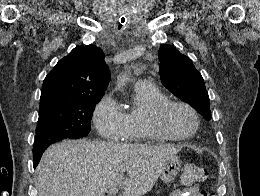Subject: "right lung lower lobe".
<instances>
[{
  "instance_id": "right-lung-lower-lobe-1",
  "label": "right lung lower lobe",
  "mask_w": 260,
  "mask_h": 196,
  "mask_svg": "<svg viewBox=\"0 0 260 196\" xmlns=\"http://www.w3.org/2000/svg\"><path fill=\"white\" fill-rule=\"evenodd\" d=\"M46 148L33 150V156H34V167L38 164L42 153L45 151Z\"/></svg>"
}]
</instances>
